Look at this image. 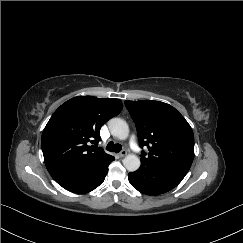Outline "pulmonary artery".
<instances>
[{
    "mask_svg": "<svg viewBox=\"0 0 243 243\" xmlns=\"http://www.w3.org/2000/svg\"><path fill=\"white\" fill-rule=\"evenodd\" d=\"M131 144H135L134 140H131ZM136 153H139V151H136Z\"/></svg>",
    "mask_w": 243,
    "mask_h": 243,
    "instance_id": "obj_1",
    "label": "pulmonary artery"
}]
</instances>
